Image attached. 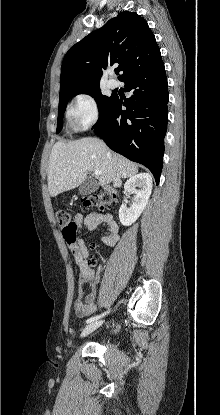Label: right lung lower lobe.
I'll return each mask as SVG.
<instances>
[{"mask_svg": "<svg viewBox=\"0 0 220 415\" xmlns=\"http://www.w3.org/2000/svg\"><path fill=\"white\" fill-rule=\"evenodd\" d=\"M132 95L113 97L104 120L94 132L114 151L146 166L159 183L168 121V85L164 63L121 80ZM125 106L126 110H121Z\"/></svg>", "mask_w": 220, "mask_h": 415, "instance_id": "right-lung-lower-lobe-1", "label": "right lung lower lobe"}]
</instances>
